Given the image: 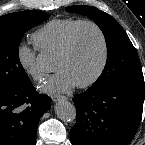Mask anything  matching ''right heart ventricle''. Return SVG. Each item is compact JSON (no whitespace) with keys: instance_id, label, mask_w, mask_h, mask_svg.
I'll use <instances>...</instances> for the list:
<instances>
[{"instance_id":"1","label":"right heart ventricle","mask_w":145,"mask_h":145,"mask_svg":"<svg viewBox=\"0 0 145 145\" xmlns=\"http://www.w3.org/2000/svg\"><path fill=\"white\" fill-rule=\"evenodd\" d=\"M80 21L73 17L52 19L33 33L32 40L42 52L57 55L71 30Z\"/></svg>"}]
</instances>
